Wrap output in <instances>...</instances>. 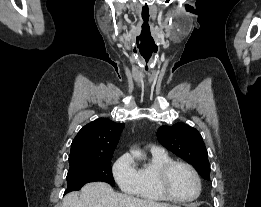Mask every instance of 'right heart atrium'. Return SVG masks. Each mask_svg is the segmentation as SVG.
<instances>
[{
	"label": "right heart atrium",
	"mask_w": 261,
	"mask_h": 207,
	"mask_svg": "<svg viewBox=\"0 0 261 207\" xmlns=\"http://www.w3.org/2000/svg\"><path fill=\"white\" fill-rule=\"evenodd\" d=\"M112 173L123 192L130 195L136 194L139 187V173L129 154H123L115 161Z\"/></svg>",
	"instance_id": "1"
}]
</instances>
